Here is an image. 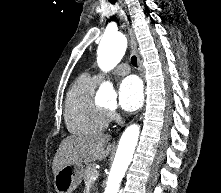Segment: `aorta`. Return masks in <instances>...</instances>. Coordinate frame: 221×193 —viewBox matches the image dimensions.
I'll return each instance as SVG.
<instances>
[{
  "label": "aorta",
  "mask_w": 221,
  "mask_h": 193,
  "mask_svg": "<svg viewBox=\"0 0 221 193\" xmlns=\"http://www.w3.org/2000/svg\"><path fill=\"white\" fill-rule=\"evenodd\" d=\"M127 48L126 37L120 33L106 34L98 47V63L103 68H112L120 62ZM98 94L108 100H114L116 93L113 86L106 82ZM140 127L136 124L128 126L123 132L115 159L108 174L104 193H118L120 182L132 161L139 137Z\"/></svg>",
  "instance_id": "762f6f07"
}]
</instances>
